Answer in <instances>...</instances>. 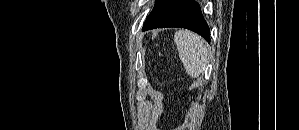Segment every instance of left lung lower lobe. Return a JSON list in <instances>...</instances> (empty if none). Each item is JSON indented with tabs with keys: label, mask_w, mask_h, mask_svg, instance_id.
<instances>
[{
	"label": "left lung lower lobe",
	"mask_w": 299,
	"mask_h": 130,
	"mask_svg": "<svg viewBox=\"0 0 299 130\" xmlns=\"http://www.w3.org/2000/svg\"><path fill=\"white\" fill-rule=\"evenodd\" d=\"M163 27H181L192 30L210 43V29L201 8L193 0H157L147 17L143 30Z\"/></svg>",
	"instance_id": "obj_1"
}]
</instances>
